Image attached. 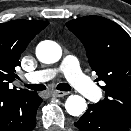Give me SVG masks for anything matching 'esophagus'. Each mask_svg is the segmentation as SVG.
<instances>
[{
	"label": "esophagus",
	"instance_id": "obj_1",
	"mask_svg": "<svg viewBox=\"0 0 131 131\" xmlns=\"http://www.w3.org/2000/svg\"><path fill=\"white\" fill-rule=\"evenodd\" d=\"M68 94H69V92H65V91H54V92H52V95L55 96V97H63V96H66Z\"/></svg>",
	"mask_w": 131,
	"mask_h": 131
}]
</instances>
